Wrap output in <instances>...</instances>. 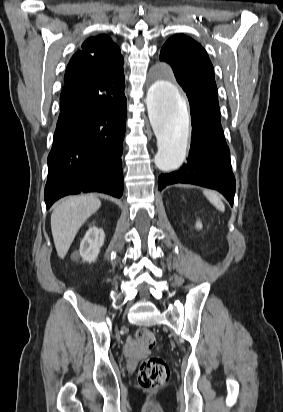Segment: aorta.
Here are the masks:
<instances>
[{
  "label": "aorta",
  "instance_id": "762f6f07",
  "mask_svg": "<svg viewBox=\"0 0 283 412\" xmlns=\"http://www.w3.org/2000/svg\"><path fill=\"white\" fill-rule=\"evenodd\" d=\"M148 116L157 138L156 166L169 172L181 166L189 138V118L185 98L178 86L159 76L148 89Z\"/></svg>",
  "mask_w": 283,
  "mask_h": 412
}]
</instances>
